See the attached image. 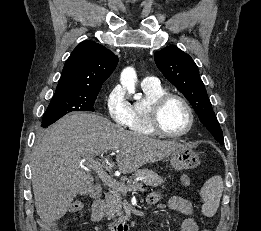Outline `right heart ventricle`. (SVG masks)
<instances>
[{
  "label": "right heart ventricle",
  "mask_w": 261,
  "mask_h": 231,
  "mask_svg": "<svg viewBox=\"0 0 261 231\" xmlns=\"http://www.w3.org/2000/svg\"><path fill=\"white\" fill-rule=\"evenodd\" d=\"M144 98L130 104V113L127 128L141 136H155L157 133L149 122V111L152 103L166 90L159 84L155 86H142Z\"/></svg>",
  "instance_id": "e07e8e85"
}]
</instances>
